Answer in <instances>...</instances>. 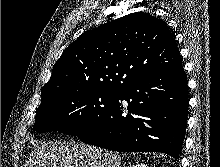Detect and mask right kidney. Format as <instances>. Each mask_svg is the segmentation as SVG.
Segmentation results:
<instances>
[{
  "label": "right kidney",
  "mask_w": 220,
  "mask_h": 167,
  "mask_svg": "<svg viewBox=\"0 0 220 167\" xmlns=\"http://www.w3.org/2000/svg\"><path fill=\"white\" fill-rule=\"evenodd\" d=\"M133 167H147L145 164H137L136 166H133Z\"/></svg>",
  "instance_id": "1"
}]
</instances>
